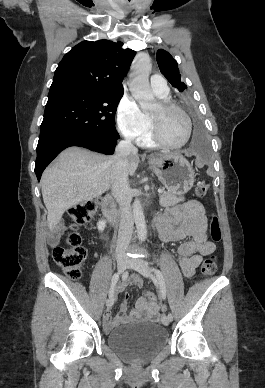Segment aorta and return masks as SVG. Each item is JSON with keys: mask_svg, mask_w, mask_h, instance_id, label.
Returning <instances> with one entry per match:
<instances>
[{"mask_svg": "<svg viewBox=\"0 0 265 388\" xmlns=\"http://www.w3.org/2000/svg\"><path fill=\"white\" fill-rule=\"evenodd\" d=\"M150 70L151 61L149 56L145 53H139L131 67L129 89L142 109H149L154 102V95L149 85ZM132 208L138 239L144 241L147 237V228L140 200L136 199Z\"/></svg>", "mask_w": 265, "mask_h": 388, "instance_id": "obj_1", "label": "aorta"}]
</instances>
